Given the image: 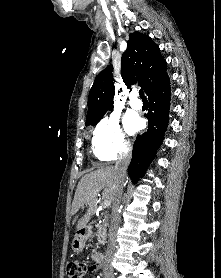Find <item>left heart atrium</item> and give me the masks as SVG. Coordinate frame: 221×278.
Masks as SVG:
<instances>
[{
  "label": "left heart atrium",
  "mask_w": 221,
  "mask_h": 278,
  "mask_svg": "<svg viewBox=\"0 0 221 278\" xmlns=\"http://www.w3.org/2000/svg\"><path fill=\"white\" fill-rule=\"evenodd\" d=\"M124 124L126 130L131 134L137 132L142 126L141 120L136 115H128L125 118Z\"/></svg>",
  "instance_id": "left-heart-atrium-1"
}]
</instances>
